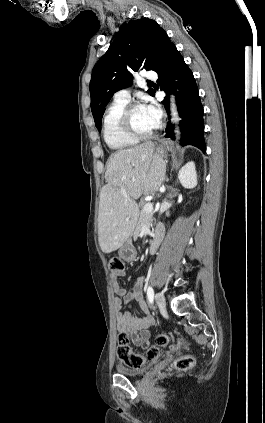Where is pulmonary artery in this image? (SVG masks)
<instances>
[{
  "mask_svg": "<svg viewBox=\"0 0 265 423\" xmlns=\"http://www.w3.org/2000/svg\"><path fill=\"white\" fill-rule=\"evenodd\" d=\"M145 78L147 80H155L157 78V74L155 71H149L145 74ZM114 99L120 102H129L130 91L128 89H121L115 93Z\"/></svg>",
  "mask_w": 265,
  "mask_h": 423,
  "instance_id": "obj_1",
  "label": "pulmonary artery"
}]
</instances>
